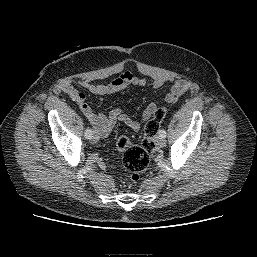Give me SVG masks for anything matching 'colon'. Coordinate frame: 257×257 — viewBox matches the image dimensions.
Returning a JSON list of instances; mask_svg holds the SVG:
<instances>
[{"mask_svg":"<svg viewBox=\"0 0 257 257\" xmlns=\"http://www.w3.org/2000/svg\"><path fill=\"white\" fill-rule=\"evenodd\" d=\"M165 115L164 108L157 109L145 125L144 138L140 146L133 144L125 135L117 140L116 147L123 154V167L130 181H138L141 173L147 168L150 157L155 152V135Z\"/></svg>","mask_w":257,"mask_h":257,"instance_id":"1","label":"colon"}]
</instances>
